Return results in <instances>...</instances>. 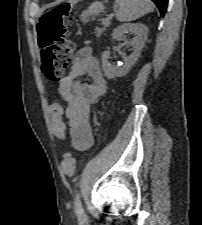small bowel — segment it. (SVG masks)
I'll return each mask as SVG.
<instances>
[{"label":"small bowel","instance_id":"small-bowel-1","mask_svg":"<svg viewBox=\"0 0 202 225\" xmlns=\"http://www.w3.org/2000/svg\"><path fill=\"white\" fill-rule=\"evenodd\" d=\"M84 76L91 78V84L80 81ZM108 92V83L101 68L88 46L81 47L75 54L69 73L58 84V93L66 102L61 113L50 107L51 132L61 140L71 136L72 145L78 151L89 149L93 143L92 127L89 111L92 104L97 103ZM67 119L68 128L63 123Z\"/></svg>","mask_w":202,"mask_h":225}]
</instances>
